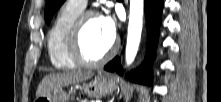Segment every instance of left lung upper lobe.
Listing matches in <instances>:
<instances>
[{
  "mask_svg": "<svg viewBox=\"0 0 221 102\" xmlns=\"http://www.w3.org/2000/svg\"><path fill=\"white\" fill-rule=\"evenodd\" d=\"M65 0H47L45 7V22L50 23L54 13L60 8Z\"/></svg>",
  "mask_w": 221,
  "mask_h": 102,
  "instance_id": "left-lung-upper-lobe-1",
  "label": "left lung upper lobe"
}]
</instances>
